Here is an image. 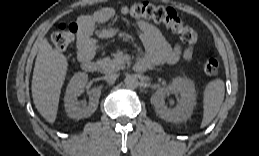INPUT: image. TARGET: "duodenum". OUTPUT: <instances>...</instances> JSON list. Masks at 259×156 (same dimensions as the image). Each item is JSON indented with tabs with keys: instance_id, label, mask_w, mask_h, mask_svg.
<instances>
[{
	"instance_id": "obj_1",
	"label": "duodenum",
	"mask_w": 259,
	"mask_h": 156,
	"mask_svg": "<svg viewBox=\"0 0 259 156\" xmlns=\"http://www.w3.org/2000/svg\"><path fill=\"white\" fill-rule=\"evenodd\" d=\"M82 68L87 72H96L98 70V64L96 61H94L90 55H86L82 59ZM146 65L142 62H138L136 64V70L137 71H144L146 70Z\"/></svg>"
}]
</instances>
